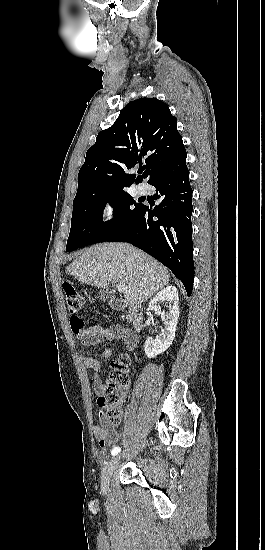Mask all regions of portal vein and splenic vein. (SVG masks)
Segmentation results:
<instances>
[{
  "label": "portal vein and splenic vein",
  "instance_id": "obj_1",
  "mask_svg": "<svg viewBox=\"0 0 265 550\" xmlns=\"http://www.w3.org/2000/svg\"><path fill=\"white\" fill-rule=\"evenodd\" d=\"M116 288L119 292H125L126 291V287L123 284H120V283H118L116 285Z\"/></svg>",
  "mask_w": 265,
  "mask_h": 550
}]
</instances>
